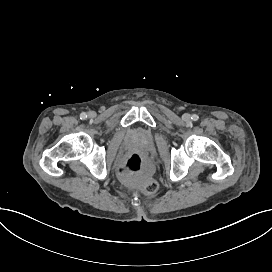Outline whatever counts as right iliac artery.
Instances as JSON below:
<instances>
[{
    "instance_id": "obj_1",
    "label": "right iliac artery",
    "mask_w": 272,
    "mask_h": 272,
    "mask_svg": "<svg viewBox=\"0 0 272 272\" xmlns=\"http://www.w3.org/2000/svg\"><path fill=\"white\" fill-rule=\"evenodd\" d=\"M87 118V114L85 112L80 114V119L85 120Z\"/></svg>"
}]
</instances>
